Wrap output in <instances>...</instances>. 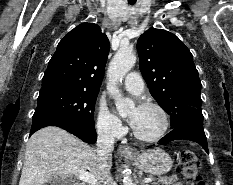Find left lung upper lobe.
<instances>
[{
  "mask_svg": "<svg viewBox=\"0 0 233 185\" xmlns=\"http://www.w3.org/2000/svg\"><path fill=\"white\" fill-rule=\"evenodd\" d=\"M140 70L151 95L170 115L174 129L195 117H203L201 82L189 49L179 38L151 28L138 39Z\"/></svg>",
  "mask_w": 233,
  "mask_h": 185,
  "instance_id": "obj_1",
  "label": "left lung upper lobe"
}]
</instances>
